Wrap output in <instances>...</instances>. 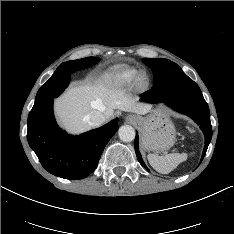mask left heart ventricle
Masks as SVG:
<instances>
[{"mask_svg":"<svg viewBox=\"0 0 234 234\" xmlns=\"http://www.w3.org/2000/svg\"><path fill=\"white\" fill-rule=\"evenodd\" d=\"M145 79H146V77H145V76H143L142 81H145Z\"/></svg>","mask_w":234,"mask_h":234,"instance_id":"b2bd125f","label":"left heart ventricle"}]
</instances>
